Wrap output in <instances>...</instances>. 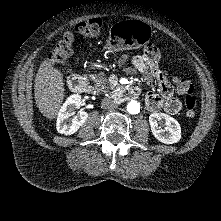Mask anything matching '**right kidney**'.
Returning a JSON list of instances; mask_svg holds the SVG:
<instances>
[{"mask_svg": "<svg viewBox=\"0 0 221 221\" xmlns=\"http://www.w3.org/2000/svg\"><path fill=\"white\" fill-rule=\"evenodd\" d=\"M81 105V96L78 94L71 95L67 98L61 109L59 110L56 129L59 133L71 135L85 123L88 118L87 112H80L73 119H69Z\"/></svg>", "mask_w": 221, "mask_h": 221, "instance_id": "ca27d5eb", "label": "right kidney"}]
</instances>
